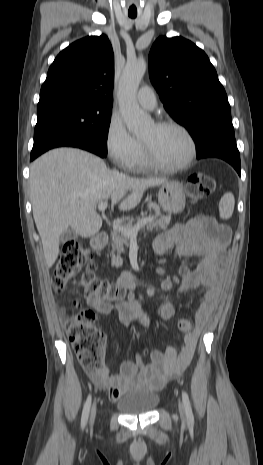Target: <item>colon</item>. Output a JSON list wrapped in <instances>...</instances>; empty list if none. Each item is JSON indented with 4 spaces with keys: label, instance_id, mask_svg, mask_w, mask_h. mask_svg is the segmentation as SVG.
Returning <instances> with one entry per match:
<instances>
[{
    "label": "colon",
    "instance_id": "1",
    "mask_svg": "<svg viewBox=\"0 0 263 465\" xmlns=\"http://www.w3.org/2000/svg\"><path fill=\"white\" fill-rule=\"evenodd\" d=\"M188 199L197 203L208 197L215 188V180L207 174L190 175L185 183ZM200 224L216 228L217 224L207 217L195 218ZM85 267L79 285L84 289L87 298H99L108 301H122L132 298V294L119 285L106 283L94 275L95 263L89 252L80 241L72 240L64 244L60 258L53 272V287L64 289L67 284ZM189 270L183 267L180 275L186 277ZM173 281L164 282L165 288H170ZM96 316L89 309L80 310L66 322V331L73 345L80 365L88 372H99L104 369V352L106 338L95 324ZM182 333H190L192 324L188 319L181 318L177 323Z\"/></svg>",
    "mask_w": 263,
    "mask_h": 465
}]
</instances>
